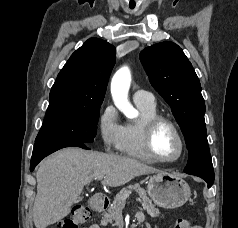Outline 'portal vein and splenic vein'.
Returning <instances> with one entry per match:
<instances>
[{"label":"portal vein and splenic vein","mask_w":238,"mask_h":228,"mask_svg":"<svg viewBox=\"0 0 238 228\" xmlns=\"http://www.w3.org/2000/svg\"><path fill=\"white\" fill-rule=\"evenodd\" d=\"M95 179H97V180H102L103 177H98V178H95ZM130 194H131V191H129L122 199H123V200H126L127 197H129Z\"/></svg>","instance_id":"obj_1"}]
</instances>
